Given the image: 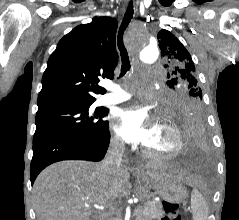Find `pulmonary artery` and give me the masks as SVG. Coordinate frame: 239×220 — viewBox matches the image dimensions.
Wrapping results in <instances>:
<instances>
[{"instance_id": "1", "label": "pulmonary artery", "mask_w": 239, "mask_h": 220, "mask_svg": "<svg viewBox=\"0 0 239 220\" xmlns=\"http://www.w3.org/2000/svg\"><path fill=\"white\" fill-rule=\"evenodd\" d=\"M110 91L104 96L105 104H117L129 100L132 94L119 84L111 83L107 86Z\"/></svg>"}]
</instances>
